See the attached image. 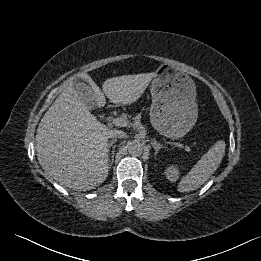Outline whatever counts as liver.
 Segmentation results:
<instances>
[{
    "label": "liver",
    "mask_w": 261,
    "mask_h": 261,
    "mask_svg": "<svg viewBox=\"0 0 261 261\" xmlns=\"http://www.w3.org/2000/svg\"><path fill=\"white\" fill-rule=\"evenodd\" d=\"M156 73L125 75L107 79L99 86L86 73L96 106H105V96L114 104L137 101ZM73 77L42 117L36 133L37 159L49 180L76 191L94 189L109 171L108 138L110 129L91 114L75 90Z\"/></svg>",
    "instance_id": "6515ba94"
}]
</instances>
